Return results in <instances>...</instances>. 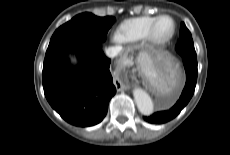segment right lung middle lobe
Instances as JSON below:
<instances>
[{"instance_id":"dd1d6c3e","label":"right lung middle lobe","mask_w":230,"mask_h":155,"mask_svg":"<svg viewBox=\"0 0 230 155\" xmlns=\"http://www.w3.org/2000/svg\"><path fill=\"white\" fill-rule=\"evenodd\" d=\"M115 18L97 17L92 13H81L60 26L51 37L47 50L79 41H104Z\"/></svg>"}]
</instances>
